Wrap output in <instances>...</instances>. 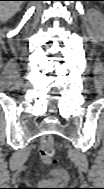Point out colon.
I'll return each mask as SVG.
<instances>
[{
	"mask_svg": "<svg viewBox=\"0 0 104 189\" xmlns=\"http://www.w3.org/2000/svg\"><path fill=\"white\" fill-rule=\"evenodd\" d=\"M57 152V147L50 136H45L42 139L40 147V157L44 164L50 165L54 161V156Z\"/></svg>",
	"mask_w": 104,
	"mask_h": 189,
	"instance_id": "5ec220e1",
	"label": "colon"
}]
</instances>
